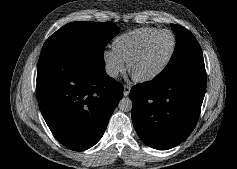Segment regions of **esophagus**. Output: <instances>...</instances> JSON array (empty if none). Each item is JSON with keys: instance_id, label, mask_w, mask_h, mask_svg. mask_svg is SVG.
Instances as JSON below:
<instances>
[{"instance_id": "esophagus-1", "label": "esophagus", "mask_w": 237, "mask_h": 169, "mask_svg": "<svg viewBox=\"0 0 237 169\" xmlns=\"http://www.w3.org/2000/svg\"><path fill=\"white\" fill-rule=\"evenodd\" d=\"M131 90V86L130 85H125L124 86V90H123V95L124 96H128Z\"/></svg>"}]
</instances>
